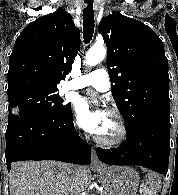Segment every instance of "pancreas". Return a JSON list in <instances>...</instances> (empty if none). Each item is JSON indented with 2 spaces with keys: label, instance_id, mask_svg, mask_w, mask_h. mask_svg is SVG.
Masks as SVG:
<instances>
[{
  "label": "pancreas",
  "instance_id": "1",
  "mask_svg": "<svg viewBox=\"0 0 178 195\" xmlns=\"http://www.w3.org/2000/svg\"><path fill=\"white\" fill-rule=\"evenodd\" d=\"M101 195H105V193L103 192V193H101Z\"/></svg>",
  "mask_w": 178,
  "mask_h": 195
}]
</instances>
